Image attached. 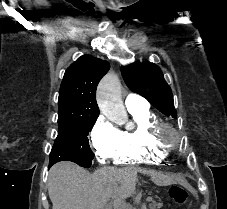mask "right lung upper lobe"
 <instances>
[{"label": "right lung upper lobe", "instance_id": "right-lung-upper-lobe-1", "mask_svg": "<svg viewBox=\"0 0 227 209\" xmlns=\"http://www.w3.org/2000/svg\"><path fill=\"white\" fill-rule=\"evenodd\" d=\"M110 64L91 55H83L65 72L59 91L58 116L99 115L96 87Z\"/></svg>", "mask_w": 227, "mask_h": 209}]
</instances>
